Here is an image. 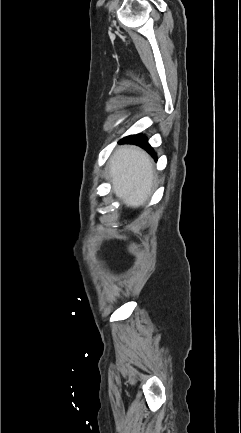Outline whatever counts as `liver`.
Wrapping results in <instances>:
<instances>
[{
	"label": "liver",
	"instance_id": "liver-1",
	"mask_svg": "<svg viewBox=\"0 0 241 433\" xmlns=\"http://www.w3.org/2000/svg\"><path fill=\"white\" fill-rule=\"evenodd\" d=\"M109 175L113 191L128 207H140L149 198L154 184L151 157L136 146H121L111 156Z\"/></svg>",
	"mask_w": 241,
	"mask_h": 433
}]
</instances>
